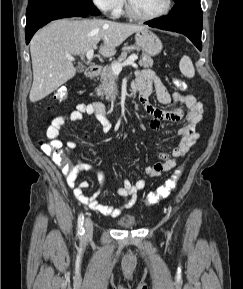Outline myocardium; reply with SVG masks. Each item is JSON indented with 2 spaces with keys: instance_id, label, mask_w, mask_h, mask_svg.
Instances as JSON below:
<instances>
[{
  "instance_id": "1",
  "label": "myocardium",
  "mask_w": 243,
  "mask_h": 289,
  "mask_svg": "<svg viewBox=\"0 0 243 289\" xmlns=\"http://www.w3.org/2000/svg\"><path fill=\"white\" fill-rule=\"evenodd\" d=\"M172 6H173V0H167L165 8L161 12L154 14V15H142L133 8L131 0H125L126 14L133 19L141 20V21H151V20H156L161 17H164L171 11Z\"/></svg>"
}]
</instances>
